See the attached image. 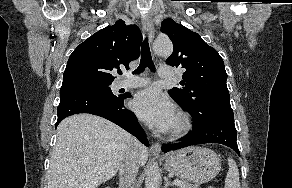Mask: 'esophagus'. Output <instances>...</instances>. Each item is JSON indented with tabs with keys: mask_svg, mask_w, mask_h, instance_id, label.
Returning a JSON list of instances; mask_svg holds the SVG:
<instances>
[{
	"mask_svg": "<svg viewBox=\"0 0 292 188\" xmlns=\"http://www.w3.org/2000/svg\"><path fill=\"white\" fill-rule=\"evenodd\" d=\"M142 21H143V25L146 27L148 31L149 41L150 43H152L154 39V32H155L153 20L151 16L147 14L142 18ZM153 57L155 60L157 59L156 55H153ZM150 151L152 155L159 157L160 152H161V145L158 142L153 143L150 148Z\"/></svg>",
	"mask_w": 292,
	"mask_h": 188,
	"instance_id": "obj_1",
	"label": "esophagus"
}]
</instances>
